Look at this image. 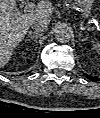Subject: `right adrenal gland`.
I'll return each instance as SVG.
<instances>
[{
  "mask_svg": "<svg viewBox=\"0 0 100 118\" xmlns=\"http://www.w3.org/2000/svg\"><path fill=\"white\" fill-rule=\"evenodd\" d=\"M42 34L37 33V32H33V31H29L28 32V36H32L34 37L36 40L41 36Z\"/></svg>",
  "mask_w": 100,
  "mask_h": 118,
  "instance_id": "obj_1",
  "label": "right adrenal gland"
}]
</instances>
